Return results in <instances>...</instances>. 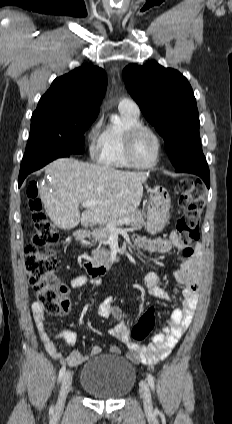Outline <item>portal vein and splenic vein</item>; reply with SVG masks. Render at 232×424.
I'll return each instance as SVG.
<instances>
[{
	"label": "portal vein and splenic vein",
	"instance_id": "portal-vein-and-splenic-vein-1",
	"mask_svg": "<svg viewBox=\"0 0 232 424\" xmlns=\"http://www.w3.org/2000/svg\"><path fill=\"white\" fill-rule=\"evenodd\" d=\"M82 207H84V208H90V207H92V206H94V205H96V202L95 201H90V200H88V201H84L82 204ZM130 222V219H128V218H124V219H121L120 221H119V223H123V224H128ZM109 229L111 230V232H113V233H117V232H119L120 230L115 226V225H110L109 226Z\"/></svg>",
	"mask_w": 232,
	"mask_h": 424
}]
</instances>
